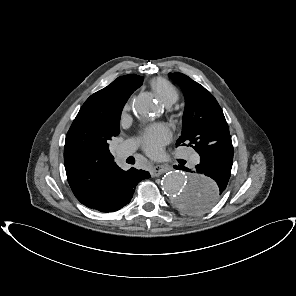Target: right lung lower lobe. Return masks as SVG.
Wrapping results in <instances>:
<instances>
[{
    "label": "right lung lower lobe",
    "instance_id": "right-lung-lower-lobe-1",
    "mask_svg": "<svg viewBox=\"0 0 296 296\" xmlns=\"http://www.w3.org/2000/svg\"><path fill=\"white\" fill-rule=\"evenodd\" d=\"M147 178H150L147 171L135 168L128 171L121 169L104 183L84 205L105 213L117 211L131 201L135 186Z\"/></svg>",
    "mask_w": 296,
    "mask_h": 296
}]
</instances>
